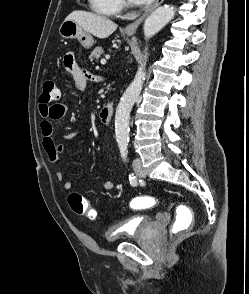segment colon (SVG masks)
I'll return each mask as SVG.
<instances>
[{
	"label": "colon",
	"mask_w": 249,
	"mask_h": 294,
	"mask_svg": "<svg viewBox=\"0 0 249 294\" xmlns=\"http://www.w3.org/2000/svg\"><path fill=\"white\" fill-rule=\"evenodd\" d=\"M60 91L56 83L52 79H45L42 83V93L40 100L43 103H50L59 98ZM65 135V134H64ZM68 202L74 213L84 216L90 220H95L97 212L93 209L87 199L77 193H73L68 197ZM159 201L153 197H137L130 201L129 207L132 210H140L152 208L158 205ZM192 223V216L188 215L184 218H178L170 226V234L172 236L179 234L187 229Z\"/></svg>",
	"instance_id": "colon-1"
}]
</instances>
